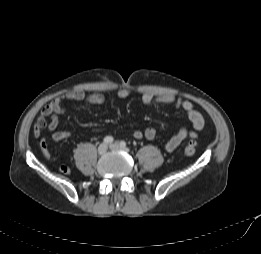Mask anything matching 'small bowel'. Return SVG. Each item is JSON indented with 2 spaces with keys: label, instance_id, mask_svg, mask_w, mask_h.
I'll use <instances>...</instances> for the list:
<instances>
[{
  "label": "small bowel",
  "instance_id": "c3829d8e",
  "mask_svg": "<svg viewBox=\"0 0 261 254\" xmlns=\"http://www.w3.org/2000/svg\"><path fill=\"white\" fill-rule=\"evenodd\" d=\"M129 95L130 92L127 89H120L117 91V96L121 99L127 98ZM65 101H87L90 104L101 105L104 103L105 98L102 94H86L82 90L68 91L55 97L42 108L40 115L33 126V135L35 138L41 136L42 130L45 127H47L51 133L52 139L55 141H61L70 137L71 134L69 131L58 129L59 117L65 112L63 105ZM141 101L143 104L148 106L153 104L174 105L185 111L190 121V125L181 127L174 136L166 141L164 148L168 152L176 150L187 137L196 138L198 133L205 126L206 121L204 116L195 109L194 105L189 100L178 98L169 93L147 91L142 93ZM133 135L136 139L144 137L148 140H152L156 136V130L149 127L144 131L136 130ZM40 147L45 158L54 161V157L51 155L44 137L40 140Z\"/></svg>",
  "mask_w": 261,
  "mask_h": 254
}]
</instances>
